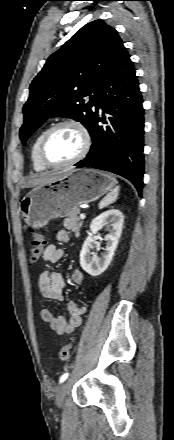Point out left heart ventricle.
Segmentation results:
<instances>
[{"instance_id":"b2bd125f","label":"left heart ventricle","mask_w":174,"mask_h":440,"mask_svg":"<svg viewBox=\"0 0 174 440\" xmlns=\"http://www.w3.org/2000/svg\"><path fill=\"white\" fill-rule=\"evenodd\" d=\"M82 138L77 129L71 126L57 128L48 138L45 156L53 164L64 163L80 151Z\"/></svg>"}]
</instances>
